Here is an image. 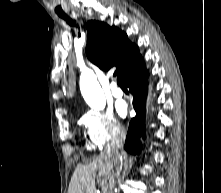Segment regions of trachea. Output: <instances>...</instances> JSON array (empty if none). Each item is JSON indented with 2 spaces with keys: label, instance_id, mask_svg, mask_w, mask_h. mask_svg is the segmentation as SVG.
Segmentation results:
<instances>
[{
  "label": "trachea",
  "instance_id": "3493384b",
  "mask_svg": "<svg viewBox=\"0 0 221 193\" xmlns=\"http://www.w3.org/2000/svg\"><path fill=\"white\" fill-rule=\"evenodd\" d=\"M61 18H63L64 20L67 21V23L69 25L74 26L75 25V21H73L71 18H69L67 15H60ZM117 84L121 87V88H126L124 82L121 80L120 76L117 77Z\"/></svg>",
  "mask_w": 221,
  "mask_h": 193
}]
</instances>
